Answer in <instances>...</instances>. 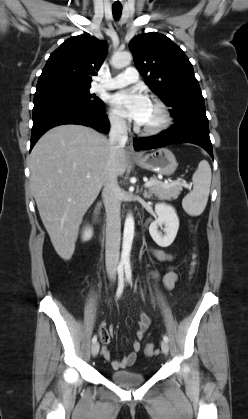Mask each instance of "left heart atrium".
Masks as SVG:
<instances>
[{"label": "left heart atrium", "mask_w": 248, "mask_h": 419, "mask_svg": "<svg viewBox=\"0 0 248 419\" xmlns=\"http://www.w3.org/2000/svg\"><path fill=\"white\" fill-rule=\"evenodd\" d=\"M111 103L123 117L138 124L145 120L151 104L149 98L135 88L117 92L112 96Z\"/></svg>", "instance_id": "1"}]
</instances>
